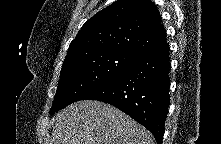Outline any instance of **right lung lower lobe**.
I'll use <instances>...</instances> for the list:
<instances>
[{
	"label": "right lung lower lobe",
	"mask_w": 221,
	"mask_h": 144,
	"mask_svg": "<svg viewBox=\"0 0 221 144\" xmlns=\"http://www.w3.org/2000/svg\"><path fill=\"white\" fill-rule=\"evenodd\" d=\"M169 71V44L164 41L82 100H98L117 107L146 127L161 144L170 101Z\"/></svg>",
	"instance_id": "1"
}]
</instances>
